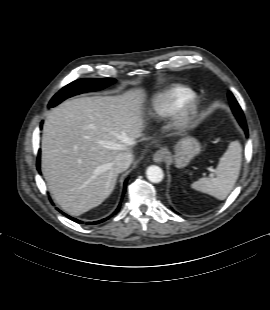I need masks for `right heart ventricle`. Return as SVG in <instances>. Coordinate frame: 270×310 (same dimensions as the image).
Listing matches in <instances>:
<instances>
[{"label": "right heart ventricle", "mask_w": 270, "mask_h": 310, "mask_svg": "<svg viewBox=\"0 0 270 310\" xmlns=\"http://www.w3.org/2000/svg\"><path fill=\"white\" fill-rule=\"evenodd\" d=\"M193 96L194 92L189 87L172 85L151 97L144 112L145 117L150 120L172 117L174 112Z\"/></svg>", "instance_id": "1"}]
</instances>
